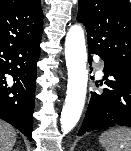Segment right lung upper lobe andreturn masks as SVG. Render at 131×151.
Segmentation results:
<instances>
[{"label":"right lung upper lobe","instance_id":"cb5924a9","mask_svg":"<svg viewBox=\"0 0 131 151\" xmlns=\"http://www.w3.org/2000/svg\"><path fill=\"white\" fill-rule=\"evenodd\" d=\"M42 31L40 0H0V45L38 42Z\"/></svg>","mask_w":131,"mask_h":151}]
</instances>
